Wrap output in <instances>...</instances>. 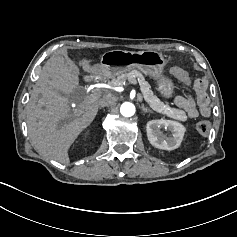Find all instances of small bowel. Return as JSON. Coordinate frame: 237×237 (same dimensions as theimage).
I'll return each instance as SVG.
<instances>
[{"mask_svg":"<svg viewBox=\"0 0 237 237\" xmlns=\"http://www.w3.org/2000/svg\"><path fill=\"white\" fill-rule=\"evenodd\" d=\"M196 101L188 94L178 95L174 99L177 107L182 109L190 118L210 115V104L207 95V82L204 79H198L193 86Z\"/></svg>","mask_w":237,"mask_h":237,"instance_id":"c3829d8e","label":"small bowel"}]
</instances>
